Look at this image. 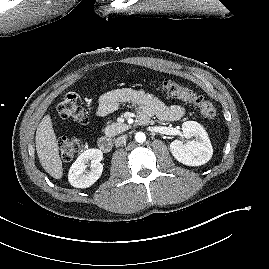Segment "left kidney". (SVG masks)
Instances as JSON below:
<instances>
[{"label": "left kidney", "instance_id": "5707ae66", "mask_svg": "<svg viewBox=\"0 0 269 269\" xmlns=\"http://www.w3.org/2000/svg\"><path fill=\"white\" fill-rule=\"evenodd\" d=\"M182 137L195 140L183 143L175 140L170 144L174 158L187 166H201L207 163L213 154L212 145L206 130L195 121H187L182 125Z\"/></svg>", "mask_w": 269, "mask_h": 269}]
</instances>
